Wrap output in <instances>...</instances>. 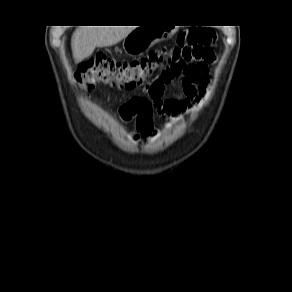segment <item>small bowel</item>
Returning a JSON list of instances; mask_svg holds the SVG:
<instances>
[{
	"mask_svg": "<svg viewBox=\"0 0 292 292\" xmlns=\"http://www.w3.org/2000/svg\"><path fill=\"white\" fill-rule=\"evenodd\" d=\"M214 61L215 54L211 49L207 58L193 64L191 70L184 75L182 80L183 99H164V85L156 97L155 110L157 114L174 119L188 112L196 105L205 93L208 84L209 65ZM153 130L152 125L149 128H142L137 123V134L134 137L135 139L146 137Z\"/></svg>",
	"mask_w": 292,
	"mask_h": 292,
	"instance_id": "obj_1",
	"label": "small bowel"
}]
</instances>
